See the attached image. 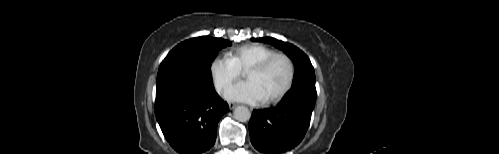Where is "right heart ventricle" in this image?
<instances>
[{
  "instance_id": "right-heart-ventricle-1",
  "label": "right heart ventricle",
  "mask_w": 499,
  "mask_h": 154,
  "mask_svg": "<svg viewBox=\"0 0 499 154\" xmlns=\"http://www.w3.org/2000/svg\"><path fill=\"white\" fill-rule=\"evenodd\" d=\"M276 51L263 44L249 43L232 49L227 53V57L232 60L241 70L246 71L252 65L258 63Z\"/></svg>"
}]
</instances>
